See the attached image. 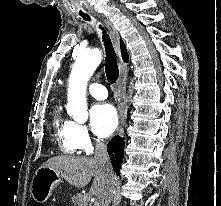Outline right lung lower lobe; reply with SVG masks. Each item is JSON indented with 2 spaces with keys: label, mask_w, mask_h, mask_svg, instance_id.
<instances>
[{
  "label": "right lung lower lobe",
  "mask_w": 221,
  "mask_h": 206,
  "mask_svg": "<svg viewBox=\"0 0 221 206\" xmlns=\"http://www.w3.org/2000/svg\"><path fill=\"white\" fill-rule=\"evenodd\" d=\"M125 142L119 136L113 137L107 145V151L117 175L120 174V168L124 157Z\"/></svg>",
  "instance_id": "obj_1"
}]
</instances>
